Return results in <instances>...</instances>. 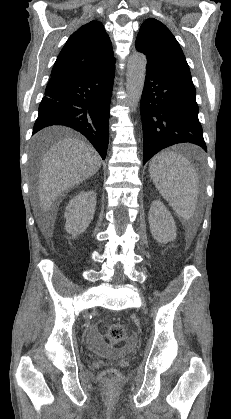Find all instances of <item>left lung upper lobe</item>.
Returning <instances> with one entry per match:
<instances>
[{"instance_id": "left-lung-upper-lobe-1", "label": "left lung upper lobe", "mask_w": 231, "mask_h": 419, "mask_svg": "<svg viewBox=\"0 0 231 419\" xmlns=\"http://www.w3.org/2000/svg\"><path fill=\"white\" fill-rule=\"evenodd\" d=\"M136 49L147 56L146 69L191 78L179 43L160 21L149 18L143 22L136 39Z\"/></svg>"}]
</instances>
